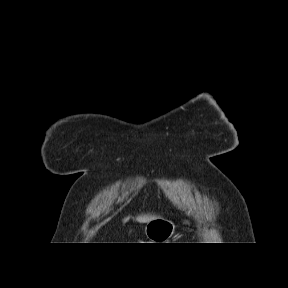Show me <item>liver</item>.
I'll return each instance as SVG.
<instances>
[{
  "mask_svg": "<svg viewBox=\"0 0 288 288\" xmlns=\"http://www.w3.org/2000/svg\"><path fill=\"white\" fill-rule=\"evenodd\" d=\"M156 217L155 216H151V215H140L138 217H136V220L139 222V223H148L149 221L155 219ZM128 217L125 218L123 220V222H127L128 221Z\"/></svg>",
  "mask_w": 288,
  "mask_h": 288,
  "instance_id": "obj_1",
  "label": "liver"
}]
</instances>
